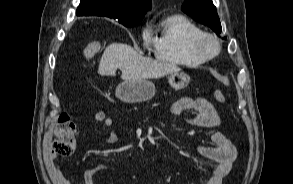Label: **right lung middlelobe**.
Masks as SVG:
<instances>
[{"instance_id":"dd1d6c3e","label":"right lung middle lobe","mask_w":293,"mask_h":184,"mask_svg":"<svg viewBox=\"0 0 293 184\" xmlns=\"http://www.w3.org/2000/svg\"><path fill=\"white\" fill-rule=\"evenodd\" d=\"M140 21H127V22H123L121 24H123L126 27H133L135 25H137Z\"/></svg>"}]
</instances>
